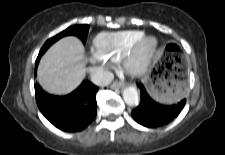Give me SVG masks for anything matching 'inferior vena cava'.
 <instances>
[{
    "label": "inferior vena cava",
    "instance_id": "1",
    "mask_svg": "<svg viewBox=\"0 0 225 155\" xmlns=\"http://www.w3.org/2000/svg\"><path fill=\"white\" fill-rule=\"evenodd\" d=\"M113 79V73L103 69H99L91 77L92 82L97 86H107L113 81Z\"/></svg>",
    "mask_w": 225,
    "mask_h": 155
}]
</instances>
